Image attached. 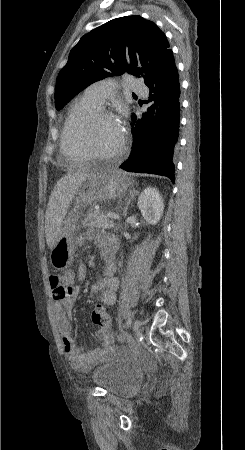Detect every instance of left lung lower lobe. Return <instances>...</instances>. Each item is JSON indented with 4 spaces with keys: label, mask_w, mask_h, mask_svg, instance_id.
I'll return each instance as SVG.
<instances>
[{
    "label": "left lung lower lobe",
    "mask_w": 245,
    "mask_h": 450,
    "mask_svg": "<svg viewBox=\"0 0 245 450\" xmlns=\"http://www.w3.org/2000/svg\"><path fill=\"white\" fill-rule=\"evenodd\" d=\"M153 104L136 121L133 114V147L120 168L130 172L152 173L175 182L173 152L180 121V84L174 57L146 83Z\"/></svg>",
    "instance_id": "1"
}]
</instances>
